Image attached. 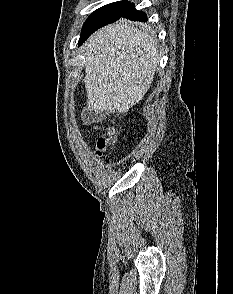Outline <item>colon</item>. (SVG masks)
<instances>
[{"label":"colon","instance_id":"colon-1","mask_svg":"<svg viewBox=\"0 0 233 294\" xmlns=\"http://www.w3.org/2000/svg\"><path fill=\"white\" fill-rule=\"evenodd\" d=\"M114 130L109 129L106 134L98 137L96 141L97 154L101 155L113 143Z\"/></svg>","mask_w":233,"mask_h":294}]
</instances>
